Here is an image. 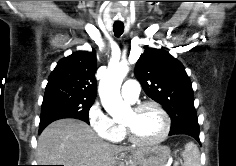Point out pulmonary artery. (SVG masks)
Segmentation results:
<instances>
[{
	"mask_svg": "<svg viewBox=\"0 0 236 166\" xmlns=\"http://www.w3.org/2000/svg\"><path fill=\"white\" fill-rule=\"evenodd\" d=\"M140 92L139 82L134 79L126 81L122 87L121 95L128 102H135Z\"/></svg>",
	"mask_w": 236,
	"mask_h": 166,
	"instance_id": "1",
	"label": "pulmonary artery"
}]
</instances>
